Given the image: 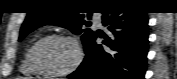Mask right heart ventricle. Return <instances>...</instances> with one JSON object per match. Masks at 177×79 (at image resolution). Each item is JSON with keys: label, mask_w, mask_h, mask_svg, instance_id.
<instances>
[{"label": "right heart ventricle", "mask_w": 177, "mask_h": 79, "mask_svg": "<svg viewBox=\"0 0 177 79\" xmlns=\"http://www.w3.org/2000/svg\"><path fill=\"white\" fill-rule=\"evenodd\" d=\"M38 41L35 40L34 42H32L30 44V46L27 48L25 55H24V59L21 65V71L22 73L26 74V75H38L40 74L32 65L31 63V50L32 47L34 46V44Z\"/></svg>", "instance_id": "obj_1"}]
</instances>
